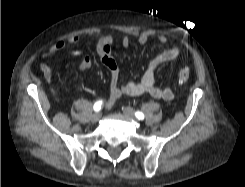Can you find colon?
I'll return each mask as SVG.
<instances>
[{
	"mask_svg": "<svg viewBox=\"0 0 245 187\" xmlns=\"http://www.w3.org/2000/svg\"><path fill=\"white\" fill-rule=\"evenodd\" d=\"M190 77V69L188 66H182L178 71V81L185 84Z\"/></svg>",
	"mask_w": 245,
	"mask_h": 187,
	"instance_id": "1",
	"label": "colon"
}]
</instances>
